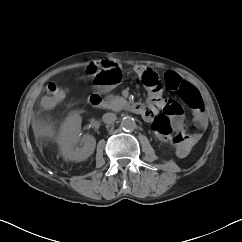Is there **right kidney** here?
I'll use <instances>...</instances> for the list:
<instances>
[{"mask_svg": "<svg viewBox=\"0 0 242 242\" xmlns=\"http://www.w3.org/2000/svg\"><path fill=\"white\" fill-rule=\"evenodd\" d=\"M82 118L78 113H71L61 126L58 143L65 160L81 162L91 156L96 140L91 135L80 136Z\"/></svg>", "mask_w": 242, "mask_h": 242, "instance_id": "ca27d5eb", "label": "right kidney"}]
</instances>
